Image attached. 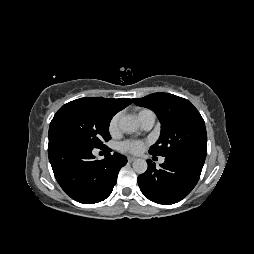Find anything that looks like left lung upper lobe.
<instances>
[{
  "label": "left lung upper lobe",
  "mask_w": 254,
  "mask_h": 254,
  "mask_svg": "<svg viewBox=\"0 0 254 254\" xmlns=\"http://www.w3.org/2000/svg\"><path fill=\"white\" fill-rule=\"evenodd\" d=\"M132 101L154 111L160 120L161 135L150 147V154L164 157L195 154L206 158L205 123L190 101L169 93H153Z\"/></svg>",
  "instance_id": "1"
}]
</instances>
